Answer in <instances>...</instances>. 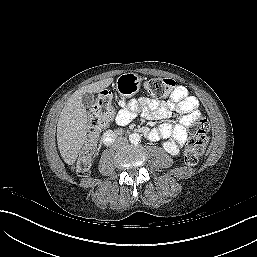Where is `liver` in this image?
Here are the masks:
<instances>
[{
	"label": "liver",
	"mask_w": 257,
	"mask_h": 257,
	"mask_svg": "<svg viewBox=\"0 0 257 257\" xmlns=\"http://www.w3.org/2000/svg\"><path fill=\"white\" fill-rule=\"evenodd\" d=\"M112 82L113 78H106L82 87L71 95L62 109L57 124V143L61 157L66 164L75 163L87 137V112L82 103V95L98 93Z\"/></svg>",
	"instance_id": "obj_1"
}]
</instances>
